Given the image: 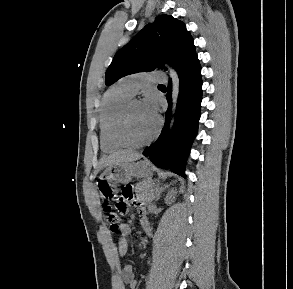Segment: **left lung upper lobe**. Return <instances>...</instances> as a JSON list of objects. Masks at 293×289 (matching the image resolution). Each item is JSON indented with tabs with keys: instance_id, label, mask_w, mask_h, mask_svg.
<instances>
[{
	"instance_id": "obj_1",
	"label": "left lung upper lobe",
	"mask_w": 293,
	"mask_h": 289,
	"mask_svg": "<svg viewBox=\"0 0 293 289\" xmlns=\"http://www.w3.org/2000/svg\"><path fill=\"white\" fill-rule=\"evenodd\" d=\"M195 55L194 40L185 24L170 15H160L115 54L105 83L111 85L121 77L156 67L163 69V63L178 72Z\"/></svg>"
}]
</instances>
